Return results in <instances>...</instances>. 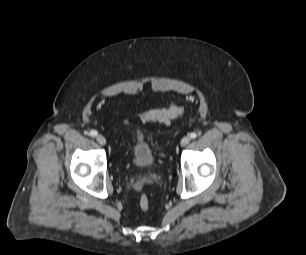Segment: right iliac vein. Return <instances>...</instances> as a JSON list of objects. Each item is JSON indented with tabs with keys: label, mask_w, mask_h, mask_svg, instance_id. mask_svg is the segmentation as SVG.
Segmentation results:
<instances>
[{
	"label": "right iliac vein",
	"mask_w": 306,
	"mask_h": 255,
	"mask_svg": "<svg viewBox=\"0 0 306 255\" xmlns=\"http://www.w3.org/2000/svg\"><path fill=\"white\" fill-rule=\"evenodd\" d=\"M96 141L100 144V145H105L106 144V139L104 136L102 135H98L96 137Z\"/></svg>",
	"instance_id": "63e3f726"
}]
</instances>
